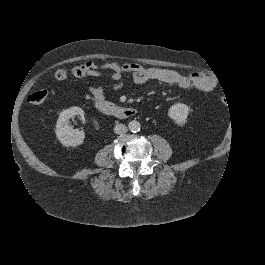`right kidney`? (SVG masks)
Wrapping results in <instances>:
<instances>
[{
    "label": "right kidney",
    "mask_w": 265,
    "mask_h": 265,
    "mask_svg": "<svg viewBox=\"0 0 265 265\" xmlns=\"http://www.w3.org/2000/svg\"><path fill=\"white\" fill-rule=\"evenodd\" d=\"M79 115L81 119H85L84 112L78 107H72L70 109L64 110L57 121L55 134L64 147H79L82 145L85 134L81 130H74L69 125V120L71 117Z\"/></svg>",
    "instance_id": "obj_1"
}]
</instances>
